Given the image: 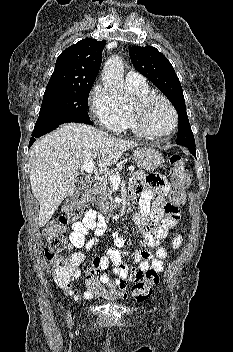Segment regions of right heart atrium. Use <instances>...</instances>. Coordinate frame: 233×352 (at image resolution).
<instances>
[{"label": "right heart atrium", "mask_w": 233, "mask_h": 352, "mask_svg": "<svg viewBox=\"0 0 233 352\" xmlns=\"http://www.w3.org/2000/svg\"><path fill=\"white\" fill-rule=\"evenodd\" d=\"M91 109L94 118L103 128L114 133L122 131L124 111L101 85L92 90Z\"/></svg>", "instance_id": "d8ad5b80"}]
</instances>
